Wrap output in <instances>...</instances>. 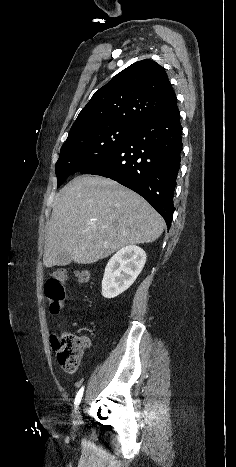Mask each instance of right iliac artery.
<instances>
[{
  "mask_svg": "<svg viewBox=\"0 0 236 467\" xmlns=\"http://www.w3.org/2000/svg\"><path fill=\"white\" fill-rule=\"evenodd\" d=\"M83 391H84V387H82L77 395H76V398H75V401H74V407H75V410L77 409L78 405L80 404L81 402V398H82V395H83Z\"/></svg>",
  "mask_w": 236,
  "mask_h": 467,
  "instance_id": "obj_1",
  "label": "right iliac artery"
}]
</instances>
